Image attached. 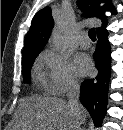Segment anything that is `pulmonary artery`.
Returning a JSON list of instances; mask_svg holds the SVG:
<instances>
[{"instance_id":"pulmonary-artery-1","label":"pulmonary artery","mask_w":123,"mask_h":130,"mask_svg":"<svg viewBox=\"0 0 123 130\" xmlns=\"http://www.w3.org/2000/svg\"><path fill=\"white\" fill-rule=\"evenodd\" d=\"M78 44L81 48H89L90 47V40L86 33H82L78 38Z\"/></svg>"}]
</instances>
